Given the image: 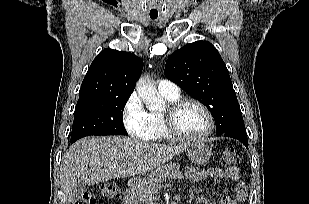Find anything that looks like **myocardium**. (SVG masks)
<instances>
[{
    "mask_svg": "<svg viewBox=\"0 0 309 204\" xmlns=\"http://www.w3.org/2000/svg\"><path fill=\"white\" fill-rule=\"evenodd\" d=\"M195 104L199 106L203 112L205 113L207 120H208V128L207 130L198 136H190L182 133L179 131L176 125V117L179 110L186 104ZM163 116V123L167 133L169 134L170 138L175 140H183L187 142H198L207 139L214 131L215 122L214 117L210 111V109L201 101L195 98H180L174 102L168 104L165 111L162 113Z\"/></svg>",
    "mask_w": 309,
    "mask_h": 204,
    "instance_id": "obj_1",
    "label": "myocardium"
}]
</instances>
